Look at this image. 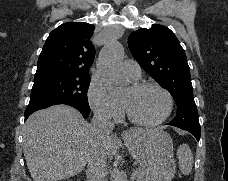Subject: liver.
Wrapping results in <instances>:
<instances>
[{"instance_id":"obj_1","label":"liver","mask_w":228,"mask_h":181,"mask_svg":"<svg viewBox=\"0 0 228 181\" xmlns=\"http://www.w3.org/2000/svg\"><path fill=\"white\" fill-rule=\"evenodd\" d=\"M91 129L81 113L68 105H54L30 115L24 125L23 151L33 181H63L81 173L97 143ZM116 143L118 139L112 135L100 147L110 153Z\"/></svg>"}]
</instances>
